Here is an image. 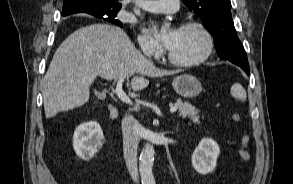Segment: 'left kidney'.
<instances>
[{
	"instance_id": "5707ae66",
	"label": "left kidney",
	"mask_w": 293,
	"mask_h": 184,
	"mask_svg": "<svg viewBox=\"0 0 293 184\" xmlns=\"http://www.w3.org/2000/svg\"><path fill=\"white\" fill-rule=\"evenodd\" d=\"M220 154L219 145L210 138H204L192 154V166L201 175L214 171Z\"/></svg>"
}]
</instances>
